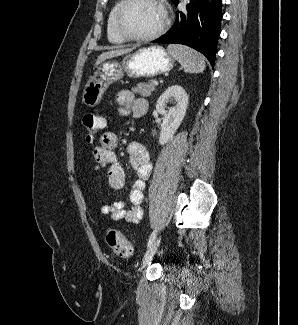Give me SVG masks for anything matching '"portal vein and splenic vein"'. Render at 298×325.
Segmentation results:
<instances>
[{"mask_svg":"<svg viewBox=\"0 0 298 325\" xmlns=\"http://www.w3.org/2000/svg\"><path fill=\"white\" fill-rule=\"evenodd\" d=\"M153 84H159L158 80H153Z\"/></svg>","mask_w":298,"mask_h":325,"instance_id":"obj_1","label":"portal vein and splenic vein"}]
</instances>
